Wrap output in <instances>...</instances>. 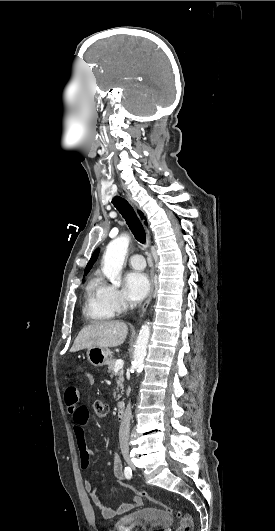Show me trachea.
<instances>
[{"instance_id":"1","label":"trachea","mask_w":275,"mask_h":531,"mask_svg":"<svg viewBox=\"0 0 275 531\" xmlns=\"http://www.w3.org/2000/svg\"><path fill=\"white\" fill-rule=\"evenodd\" d=\"M114 206L122 214L133 235L139 243L146 245V233L132 206L126 199L116 196L112 200Z\"/></svg>"}]
</instances>
